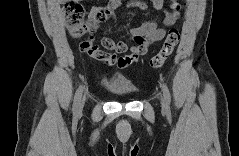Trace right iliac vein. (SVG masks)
I'll return each mask as SVG.
<instances>
[{
    "label": "right iliac vein",
    "instance_id": "obj_1",
    "mask_svg": "<svg viewBox=\"0 0 239 156\" xmlns=\"http://www.w3.org/2000/svg\"><path fill=\"white\" fill-rule=\"evenodd\" d=\"M84 103H85V96L82 98V100L80 101V105H79V110L78 112H80L84 106Z\"/></svg>",
    "mask_w": 239,
    "mask_h": 156
}]
</instances>
